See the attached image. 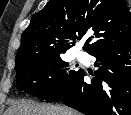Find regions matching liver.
Listing matches in <instances>:
<instances>
[{"label":"liver","mask_w":131,"mask_h":115,"mask_svg":"<svg viewBox=\"0 0 131 115\" xmlns=\"http://www.w3.org/2000/svg\"><path fill=\"white\" fill-rule=\"evenodd\" d=\"M5 115H79L65 106L41 105L31 100L13 102Z\"/></svg>","instance_id":"1"}]
</instances>
